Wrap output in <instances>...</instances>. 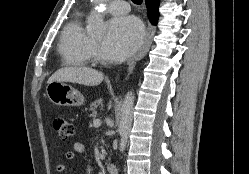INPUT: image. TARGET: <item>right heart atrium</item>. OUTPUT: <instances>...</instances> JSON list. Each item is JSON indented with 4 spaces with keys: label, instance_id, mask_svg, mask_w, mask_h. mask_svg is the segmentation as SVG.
Listing matches in <instances>:
<instances>
[{
    "label": "right heart atrium",
    "instance_id": "d8ad5b80",
    "mask_svg": "<svg viewBox=\"0 0 249 174\" xmlns=\"http://www.w3.org/2000/svg\"><path fill=\"white\" fill-rule=\"evenodd\" d=\"M91 53L94 54L95 53V48L92 46L91 48Z\"/></svg>",
    "mask_w": 249,
    "mask_h": 174
}]
</instances>
